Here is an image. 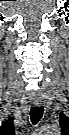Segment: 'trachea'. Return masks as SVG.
Masks as SVG:
<instances>
[{
	"label": "trachea",
	"instance_id": "3493384b",
	"mask_svg": "<svg viewBox=\"0 0 69 135\" xmlns=\"http://www.w3.org/2000/svg\"><path fill=\"white\" fill-rule=\"evenodd\" d=\"M43 112H44V108L41 107H32L30 110V118H31V122L33 124H37L40 119L43 116Z\"/></svg>",
	"mask_w": 69,
	"mask_h": 135
}]
</instances>
